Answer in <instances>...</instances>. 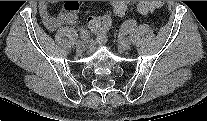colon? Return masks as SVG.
Listing matches in <instances>:
<instances>
[{"mask_svg": "<svg viewBox=\"0 0 207 121\" xmlns=\"http://www.w3.org/2000/svg\"><path fill=\"white\" fill-rule=\"evenodd\" d=\"M161 6V1H140L132 5V7L141 14H150ZM112 9L115 15L124 16L128 13L130 7L126 2L115 1L112 5ZM88 24L98 41L103 42L106 40L107 33L111 26V18L108 14L92 16Z\"/></svg>", "mask_w": 207, "mask_h": 121, "instance_id": "1", "label": "colon"}]
</instances>
